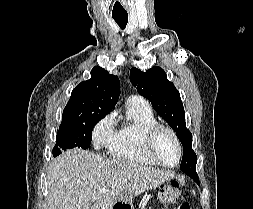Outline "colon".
<instances>
[{
	"mask_svg": "<svg viewBox=\"0 0 253 209\" xmlns=\"http://www.w3.org/2000/svg\"><path fill=\"white\" fill-rule=\"evenodd\" d=\"M163 195L167 201H173L180 195V186L177 181H172L164 190ZM177 209H190V205L187 202H182Z\"/></svg>",
	"mask_w": 253,
	"mask_h": 209,
	"instance_id": "5ec220e1",
	"label": "colon"
}]
</instances>
